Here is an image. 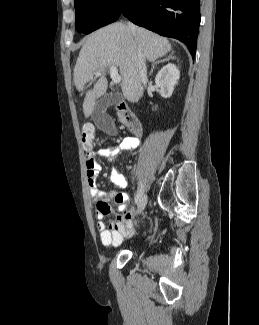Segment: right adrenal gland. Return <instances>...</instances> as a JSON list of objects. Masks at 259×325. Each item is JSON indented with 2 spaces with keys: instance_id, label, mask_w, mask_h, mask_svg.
Wrapping results in <instances>:
<instances>
[{
  "instance_id": "1",
  "label": "right adrenal gland",
  "mask_w": 259,
  "mask_h": 325,
  "mask_svg": "<svg viewBox=\"0 0 259 325\" xmlns=\"http://www.w3.org/2000/svg\"><path fill=\"white\" fill-rule=\"evenodd\" d=\"M170 59H173V56L172 55H169L167 58L163 59V60H159V61H156L154 63H152V67H151V70H150V73H149V76L152 75L153 73V70L155 69V66L159 63H162V62H165V61H169Z\"/></svg>"
}]
</instances>
